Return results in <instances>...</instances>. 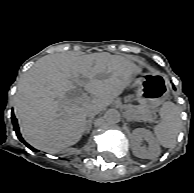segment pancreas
<instances>
[{"label": "pancreas", "mask_w": 194, "mask_h": 193, "mask_svg": "<svg viewBox=\"0 0 194 193\" xmlns=\"http://www.w3.org/2000/svg\"><path fill=\"white\" fill-rule=\"evenodd\" d=\"M128 111L130 112L131 119L141 122V121H151L152 115L150 111L140 109L138 106H128Z\"/></svg>", "instance_id": "1"}]
</instances>
